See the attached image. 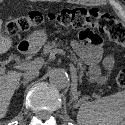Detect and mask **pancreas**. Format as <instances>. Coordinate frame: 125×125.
<instances>
[{"mask_svg":"<svg viewBox=\"0 0 125 125\" xmlns=\"http://www.w3.org/2000/svg\"><path fill=\"white\" fill-rule=\"evenodd\" d=\"M60 47H63L65 49H69V47H64L63 44L61 43H56L55 41L48 43L47 45L44 46L43 52L44 54H53L54 52H56L57 50H59ZM70 56L69 58L78 65V68L81 69V72H83L84 70V66L82 64V61L80 59H77L76 55L73 53V51L70 50ZM105 63L110 67L112 65V60L111 58H106L105 59ZM90 74L92 75V78L94 80H101L102 82L105 81V79L100 78V69L98 68V66H96L95 64H93V66H91L90 68Z\"/></svg>","mask_w":125,"mask_h":125,"instance_id":"pancreas-1","label":"pancreas"}]
</instances>
